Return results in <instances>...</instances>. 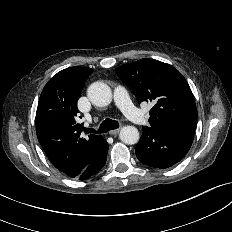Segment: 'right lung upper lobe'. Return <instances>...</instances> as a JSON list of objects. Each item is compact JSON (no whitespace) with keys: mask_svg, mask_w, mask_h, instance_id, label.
<instances>
[{"mask_svg":"<svg viewBox=\"0 0 232 232\" xmlns=\"http://www.w3.org/2000/svg\"><path fill=\"white\" fill-rule=\"evenodd\" d=\"M92 69L70 67L58 72L44 86L36 111V133L53 165L71 178L77 177L98 155L104 145L102 136H80L76 122L77 101L84 80Z\"/></svg>","mask_w":232,"mask_h":232,"instance_id":"right-lung-upper-lobe-1","label":"right lung upper lobe"}]
</instances>
